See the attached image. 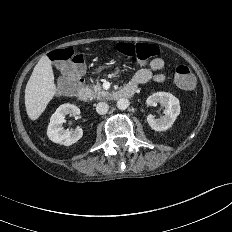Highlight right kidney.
Listing matches in <instances>:
<instances>
[{"mask_svg":"<svg viewBox=\"0 0 232 232\" xmlns=\"http://www.w3.org/2000/svg\"><path fill=\"white\" fill-rule=\"evenodd\" d=\"M68 114L73 116L79 115L80 109L73 104H62L52 114L47 129L49 139L64 146L76 143L83 136V131L80 127H77L75 130L64 129L62 124L65 122V116Z\"/></svg>","mask_w":232,"mask_h":232,"instance_id":"ca27d5eb","label":"right kidney"}]
</instances>
